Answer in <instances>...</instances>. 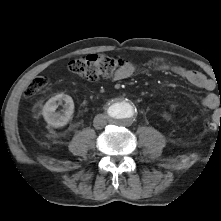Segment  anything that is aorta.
Returning a JSON list of instances; mask_svg holds the SVG:
<instances>
[{
	"label": "aorta",
	"mask_w": 221,
	"mask_h": 221,
	"mask_svg": "<svg viewBox=\"0 0 221 221\" xmlns=\"http://www.w3.org/2000/svg\"><path fill=\"white\" fill-rule=\"evenodd\" d=\"M109 119L118 125L130 124L137 115L136 106L128 99L120 98L113 101L107 109Z\"/></svg>",
	"instance_id": "1"
}]
</instances>
